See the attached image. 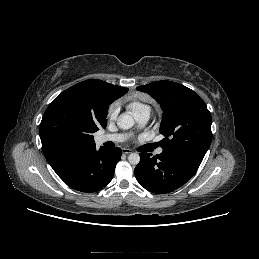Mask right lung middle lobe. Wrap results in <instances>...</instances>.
<instances>
[{
    "label": "right lung middle lobe",
    "mask_w": 259,
    "mask_h": 259,
    "mask_svg": "<svg viewBox=\"0 0 259 259\" xmlns=\"http://www.w3.org/2000/svg\"><path fill=\"white\" fill-rule=\"evenodd\" d=\"M96 130L70 114L56 113L42 129L46 144L53 149H68L77 144L86 134Z\"/></svg>",
    "instance_id": "right-lung-middle-lobe-1"
}]
</instances>
